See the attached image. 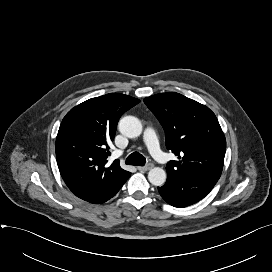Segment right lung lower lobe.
I'll return each mask as SVG.
<instances>
[{
	"mask_svg": "<svg viewBox=\"0 0 272 272\" xmlns=\"http://www.w3.org/2000/svg\"><path fill=\"white\" fill-rule=\"evenodd\" d=\"M118 191H119V189L117 191H115L114 193H112L110 196H108L103 202H106L107 200L112 198ZM103 202H101V203H103Z\"/></svg>",
	"mask_w": 272,
	"mask_h": 272,
	"instance_id": "98d812e1",
	"label": "right lung lower lobe"
}]
</instances>
